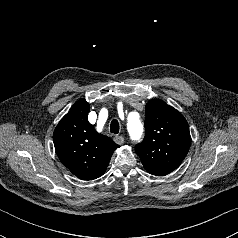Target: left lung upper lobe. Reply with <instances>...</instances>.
<instances>
[{
    "mask_svg": "<svg viewBox=\"0 0 238 238\" xmlns=\"http://www.w3.org/2000/svg\"><path fill=\"white\" fill-rule=\"evenodd\" d=\"M144 140L135 145L144 168L150 174L165 176L186 157L191 137L183 115L159 99L146 104Z\"/></svg>",
    "mask_w": 238,
    "mask_h": 238,
    "instance_id": "1",
    "label": "left lung upper lobe"
}]
</instances>
